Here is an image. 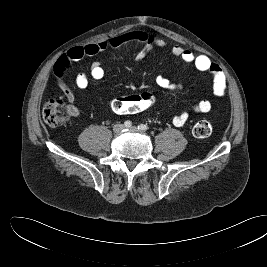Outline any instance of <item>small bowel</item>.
<instances>
[{"mask_svg": "<svg viewBox=\"0 0 267 267\" xmlns=\"http://www.w3.org/2000/svg\"><path fill=\"white\" fill-rule=\"evenodd\" d=\"M166 41L159 36H152L143 31H129L109 40L91 43L84 46L73 47L65 54L60 56L55 62L53 71L58 80V84L66 99L71 104L70 109L73 115L78 113L77 108L74 106L75 94L71 87L64 81V73L73 67V65L83 57H94L97 54L107 50L114 49L121 46H139L141 50L137 55L136 60L140 61L144 54L154 47H164ZM172 54L181 59L184 64L193 65L196 70L200 72H207L212 77L213 93L216 97H222L226 92V78L222 69L213 63L206 55H195L191 50L181 46L174 45L171 50ZM104 68L98 61H93L90 66L89 74L81 72L75 78V85L79 89H85L90 83V77L95 80H100L104 77ZM156 83L159 87L171 90L180 91L183 89V84L179 82H172L165 75H158ZM211 102L207 99L198 101L193 105L191 112L194 113H207L211 110ZM190 112L183 111L172 118V123L177 126H183L189 119Z\"/></svg>", "mask_w": 267, "mask_h": 267, "instance_id": "small-bowel-1", "label": "small bowel"}]
</instances>
